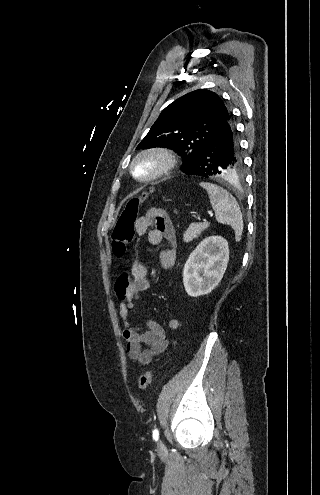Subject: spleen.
Segmentation results:
<instances>
[{"label": "spleen", "mask_w": 320, "mask_h": 495, "mask_svg": "<svg viewBox=\"0 0 320 495\" xmlns=\"http://www.w3.org/2000/svg\"><path fill=\"white\" fill-rule=\"evenodd\" d=\"M200 186L209 194L216 221L231 226L235 232V240L239 242L243 232V219L235 197L224 188L212 183L201 182Z\"/></svg>", "instance_id": "3e777b00"}]
</instances>
